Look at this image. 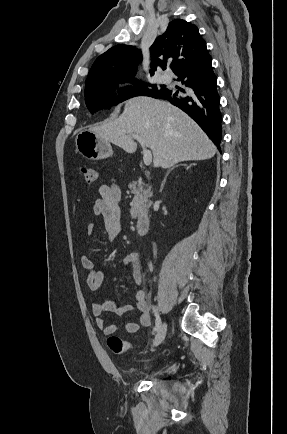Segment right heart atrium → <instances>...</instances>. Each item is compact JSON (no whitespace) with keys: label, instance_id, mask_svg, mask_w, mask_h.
Segmentation results:
<instances>
[{"label":"right heart atrium","instance_id":"1","mask_svg":"<svg viewBox=\"0 0 287 434\" xmlns=\"http://www.w3.org/2000/svg\"><path fill=\"white\" fill-rule=\"evenodd\" d=\"M125 97V92L122 89H118L112 92V98L114 100H121Z\"/></svg>","mask_w":287,"mask_h":434}]
</instances>
